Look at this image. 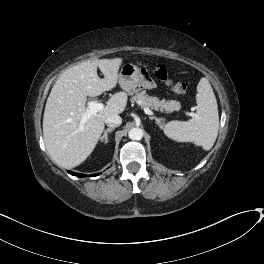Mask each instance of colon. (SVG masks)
<instances>
[{
    "instance_id": "colon-1",
    "label": "colon",
    "mask_w": 264,
    "mask_h": 264,
    "mask_svg": "<svg viewBox=\"0 0 264 264\" xmlns=\"http://www.w3.org/2000/svg\"><path fill=\"white\" fill-rule=\"evenodd\" d=\"M154 74L159 80L169 84L174 93L178 95H185L187 93V84L173 81L169 77L168 69L164 64H157L154 69Z\"/></svg>"
}]
</instances>
